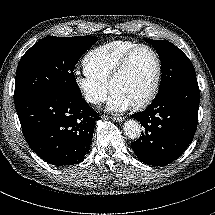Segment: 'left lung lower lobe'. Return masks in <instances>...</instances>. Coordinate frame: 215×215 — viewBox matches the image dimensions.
Instances as JSON below:
<instances>
[{"label": "left lung lower lobe", "mask_w": 215, "mask_h": 215, "mask_svg": "<svg viewBox=\"0 0 215 215\" xmlns=\"http://www.w3.org/2000/svg\"><path fill=\"white\" fill-rule=\"evenodd\" d=\"M199 102L195 77L157 94L145 111L131 115L145 128L131 143L138 159L148 165L165 166L181 156L195 134Z\"/></svg>", "instance_id": "1"}]
</instances>
